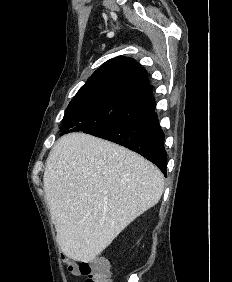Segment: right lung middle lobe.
I'll list each match as a JSON object with an SVG mask.
<instances>
[{
    "label": "right lung middle lobe",
    "instance_id": "1",
    "mask_svg": "<svg viewBox=\"0 0 232 282\" xmlns=\"http://www.w3.org/2000/svg\"><path fill=\"white\" fill-rule=\"evenodd\" d=\"M155 103L138 91L108 90L75 96L62 120V134L112 128L151 114Z\"/></svg>",
    "mask_w": 232,
    "mask_h": 282
}]
</instances>
